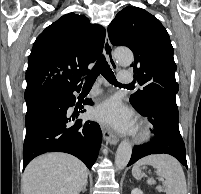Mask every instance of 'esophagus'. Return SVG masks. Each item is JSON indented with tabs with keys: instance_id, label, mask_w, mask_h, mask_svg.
<instances>
[{
	"instance_id": "34e87169",
	"label": "esophagus",
	"mask_w": 201,
	"mask_h": 194,
	"mask_svg": "<svg viewBox=\"0 0 201 194\" xmlns=\"http://www.w3.org/2000/svg\"><path fill=\"white\" fill-rule=\"evenodd\" d=\"M104 54L106 56V59L109 65L112 67V69L116 70L118 66L114 60L113 48L107 34L104 41ZM103 137H104V141L106 143H110L111 145H115L119 141L118 136L115 133H113L110 129H107L103 132Z\"/></svg>"
}]
</instances>
